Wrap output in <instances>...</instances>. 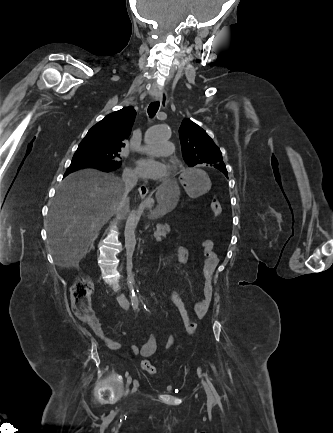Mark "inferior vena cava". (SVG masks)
I'll list each match as a JSON object with an SVG mask.
<instances>
[{
	"instance_id": "1",
	"label": "inferior vena cava",
	"mask_w": 333,
	"mask_h": 433,
	"mask_svg": "<svg viewBox=\"0 0 333 433\" xmlns=\"http://www.w3.org/2000/svg\"><path fill=\"white\" fill-rule=\"evenodd\" d=\"M122 182L124 183L123 200H125L128 193L137 185L138 179L133 172L124 171L122 174ZM124 309L128 310L129 306H124Z\"/></svg>"
}]
</instances>
